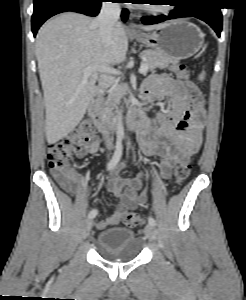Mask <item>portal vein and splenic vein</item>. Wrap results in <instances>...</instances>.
<instances>
[{"label": "portal vein and splenic vein", "instance_id": "18ae733b", "mask_svg": "<svg viewBox=\"0 0 246 300\" xmlns=\"http://www.w3.org/2000/svg\"><path fill=\"white\" fill-rule=\"evenodd\" d=\"M99 71V72H109L115 75H119L120 72L117 71L116 69H111L109 67L106 66H102V67H88L87 69L84 70L83 75L85 77L90 76L94 71ZM148 71V66L146 64H141L140 68H139V73L140 74H145Z\"/></svg>", "mask_w": 246, "mask_h": 300}]
</instances>
